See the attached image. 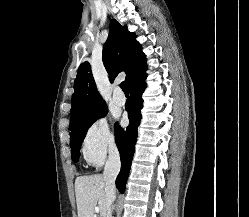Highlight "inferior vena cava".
Masks as SVG:
<instances>
[{"label":"inferior vena cava","mask_w":249,"mask_h":217,"mask_svg":"<svg viewBox=\"0 0 249 217\" xmlns=\"http://www.w3.org/2000/svg\"><path fill=\"white\" fill-rule=\"evenodd\" d=\"M121 168L119 151L114 143L109 147L108 160L104 167V179L106 182V205L111 215V206L116 198L115 180Z\"/></svg>","instance_id":"602c4592"}]
</instances>
